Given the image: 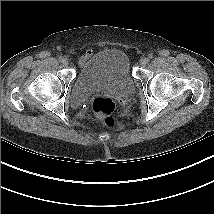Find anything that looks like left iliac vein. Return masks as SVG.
Masks as SVG:
<instances>
[{
	"instance_id": "1",
	"label": "left iliac vein",
	"mask_w": 214,
	"mask_h": 214,
	"mask_svg": "<svg viewBox=\"0 0 214 214\" xmlns=\"http://www.w3.org/2000/svg\"><path fill=\"white\" fill-rule=\"evenodd\" d=\"M148 59L147 58H141L140 59V64L142 65V66H145L147 63H148Z\"/></svg>"
}]
</instances>
